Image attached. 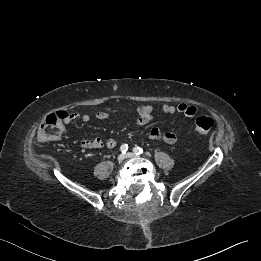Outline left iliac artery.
Masks as SVG:
<instances>
[{
    "label": "left iliac artery",
    "mask_w": 261,
    "mask_h": 261,
    "mask_svg": "<svg viewBox=\"0 0 261 261\" xmlns=\"http://www.w3.org/2000/svg\"><path fill=\"white\" fill-rule=\"evenodd\" d=\"M133 151H134V153L136 154V155H139V154H142L143 153V149L142 148H140V147H134V149H133Z\"/></svg>",
    "instance_id": "left-iliac-artery-1"
}]
</instances>
